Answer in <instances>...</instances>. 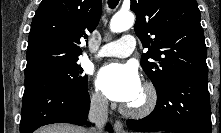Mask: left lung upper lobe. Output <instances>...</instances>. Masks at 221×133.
Listing matches in <instances>:
<instances>
[{"label": "left lung upper lobe", "mask_w": 221, "mask_h": 133, "mask_svg": "<svg viewBox=\"0 0 221 133\" xmlns=\"http://www.w3.org/2000/svg\"><path fill=\"white\" fill-rule=\"evenodd\" d=\"M131 10L137 17L135 33L148 48L141 66L156 91L179 74L208 75L196 0H131Z\"/></svg>", "instance_id": "left-lung-upper-lobe-1"}]
</instances>
